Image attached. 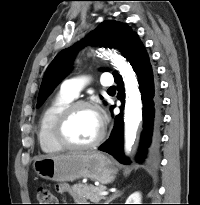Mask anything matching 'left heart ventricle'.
<instances>
[{
	"label": "left heart ventricle",
	"instance_id": "obj_1",
	"mask_svg": "<svg viewBox=\"0 0 200 205\" xmlns=\"http://www.w3.org/2000/svg\"><path fill=\"white\" fill-rule=\"evenodd\" d=\"M101 129L99 114L88 108L78 109L66 125L65 133L68 140L76 144L93 141Z\"/></svg>",
	"mask_w": 200,
	"mask_h": 205
}]
</instances>
